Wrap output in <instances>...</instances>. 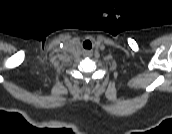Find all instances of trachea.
Returning a JSON list of instances; mask_svg holds the SVG:
<instances>
[{
  "label": "trachea",
  "instance_id": "obj_1",
  "mask_svg": "<svg viewBox=\"0 0 172 134\" xmlns=\"http://www.w3.org/2000/svg\"><path fill=\"white\" fill-rule=\"evenodd\" d=\"M83 46L86 48V46H87V48H92V43L89 41V40H86V41H84V43H83Z\"/></svg>",
  "mask_w": 172,
  "mask_h": 134
}]
</instances>
